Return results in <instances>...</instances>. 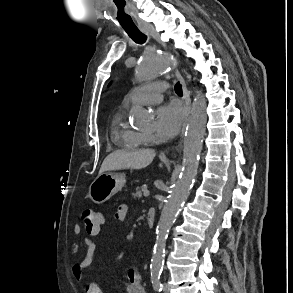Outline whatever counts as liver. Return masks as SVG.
I'll return each mask as SVG.
<instances>
[{"label":"liver","instance_id":"obj_1","mask_svg":"<svg viewBox=\"0 0 293 293\" xmlns=\"http://www.w3.org/2000/svg\"><path fill=\"white\" fill-rule=\"evenodd\" d=\"M155 155V151L150 149L137 151L117 150L105 158L99 175L114 170L143 169L151 164Z\"/></svg>","mask_w":293,"mask_h":293}]
</instances>
